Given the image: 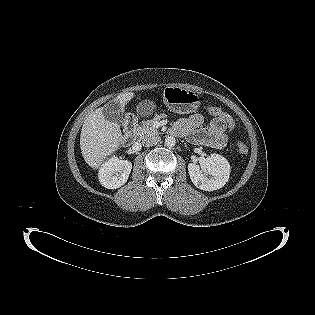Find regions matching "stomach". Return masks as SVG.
<instances>
[{
	"label": "stomach",
	"mask_w": 315,
	"mask_h": 315,
	"mask_svg": "<svg viewBox=\"0 0 315 315\" xmlns=\"http://www.w3.org/2000/svg\"><path fill=\"white\" fill-rule=\"evenodd\" d=\"M164 104L173 112L189 114L197 111L199 96L192 90L177 86H167L163 92Z\"/></svg>",
	"instance_id": "obj_1"
}]
</instances>
